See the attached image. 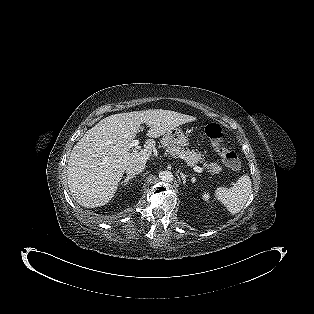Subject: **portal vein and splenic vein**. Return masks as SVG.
<instances>
[{"mask_svg": "<svg viewBox=\"0 0 314 314\" xmlns=\"http://www.w3.org/2000/svg\"><path fill=\"white\" fill-rule=\"evenodd\" d=\"M138 145H139V141H138V140H132V141L130 142V144H129V147H130V148H133V147H137ZM194 170H195L196 172H198V173H202V172H203V168L198 167V166L194 167Z\"/></svg>", "mask_w": 314, "mask_h": 314, "instance_id": "obj_1", "label": "portal vein and splenic vein"}]
</instances>
